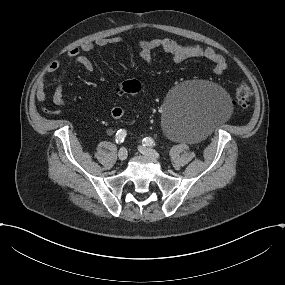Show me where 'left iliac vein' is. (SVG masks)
Segmentation results:
<instances>
[{
  "label": "left iliac vein",
  "instance_id": "obj_1",
  "mask_svg": "<svg viewBox=\"0 0 285 285\" xmlns=\"http://www.w3.org/2000/svg\"><path fill=\"white\" fill-rule=\"evenodd\" d=\"M138 149L142 154H144L146 156L152 157L156 160H158L160 158L159 154L151 148H146L144 146H140Z\"/></svg>",
  "mask_w": 285,
  "mask_h": 285
}]
</instances>
